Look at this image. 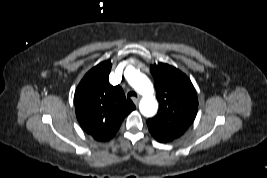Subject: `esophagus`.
Masks as SVG:
<instances>
[{
	"instance_id": "obj_1",
	"label": "esophagus",
	"mask_w": 267,
	"mask_h": 178,
	"mask_svg": "<svg viewBox=\"0 0 267 178\" xmlns=\"http://www.w3.org/2000/svg\"><path fill=\"white\" fill-rule=\"evenodd\" d=\"M139 100H140L139 98L132 97V101L136 106L139 104Z\"/></svg>"
}]
</instances>
